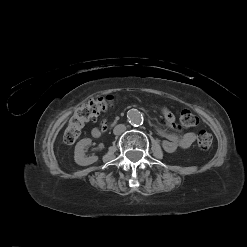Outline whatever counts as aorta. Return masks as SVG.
<instances>
[{"label": "aorta", "mask_w": 247, "mask_h": 247, "mask_svg": "<svg viewBox=\"0 0 247 247\" xmlns=\"http://www.w3.org/2000/svg\"><path fill=\"white\" fill-rule=\"evenodd\" d=\"M129 122L134 126H139L143 123V117L141 113L136 109H131L127 114Z\"/></svg>", "instance_id": "obj_1"}]
</instances>
